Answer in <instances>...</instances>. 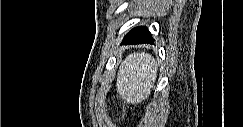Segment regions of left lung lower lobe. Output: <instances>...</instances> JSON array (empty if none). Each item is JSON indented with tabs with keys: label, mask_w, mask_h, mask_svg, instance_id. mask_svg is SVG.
Wrapping results in <instances>:
<instances>
[{
	"label": "left lung lower lobe",
	"mask_w": 243,
	"mask_h": 127,
	"mask_svg": "<svg viewBox=\"0 0 243 127\" xmlns=\"http://www.w3.org/2000/svg\"><path fill=\"white\" fill-rule=\"evenodd\" d=\"M154 39L151 33L144 26L135 27L129 33L126 34L121 42V45H136L143 43L153 44Z\"/></svg>",
	"instance_id": "left-lung-lower-lobe-1"
}]
</instances>
